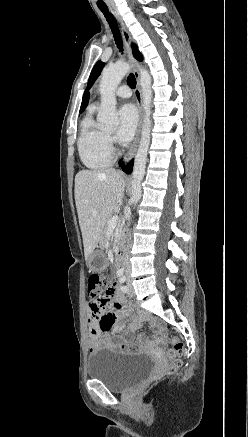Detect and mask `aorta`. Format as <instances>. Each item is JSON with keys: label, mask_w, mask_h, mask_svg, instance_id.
Here are the masks:
<instances>
[{"label": "aorta", "mask_w": 248, "mask_h": 437, "mask_svg": "<svg viewBox=\"0 0 248 437\" xmlns=\"http://www.w3.org/2000/svg\"><path fill=\"white\" fill-rule=\"evenodd\" d=\"M128 63L119 62L105 69L102 73L100 82L101 106L98 111L97 120L106 127L115 128L118 125L116 113L115 91L123 77L129 72ZM140 85L143 97V126L138 150L135 155L132 173V203L134 206L140 201L142 196L141 183L145 175L147 155L150 146L151 132V101H152V79L149 72L140 69Z\"/></svg>", "instance_id": "762f6f07"}]
</instances>
